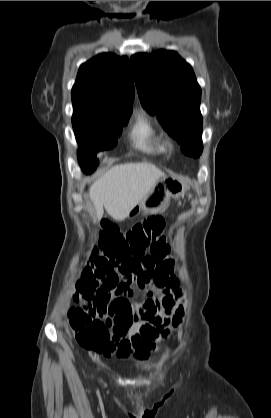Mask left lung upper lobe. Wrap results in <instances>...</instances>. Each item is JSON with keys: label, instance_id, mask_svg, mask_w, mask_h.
Returning a JSON list of instances; mask_svg holds the SVG:
<instances>
[{"label": "left lung upper lobe", "instance_id": "obj_1", "mask_svg": "<svg viewBox=\"0 0 271 418\" xmlns=\"http://www.w3.org/2000/svg\"><path fill=\"white\" fill-rule=\"evenodd\" d=\"M142 106L157 114L163 128L187 156L202 153L201 88L192 67L174 51L131 57Z\"/></svg>", "mask_w": 271, "mask_h": 418}]
</instances>
